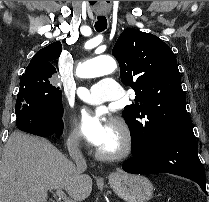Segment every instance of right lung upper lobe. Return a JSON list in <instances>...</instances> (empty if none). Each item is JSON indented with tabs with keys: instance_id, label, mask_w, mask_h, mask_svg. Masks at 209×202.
Instances as JSON below:
<instances>
[{
	"instance_id": "right-lung-upper-lobe-1",
	"label": "right lung upper lobe",
	"mask_w": 209,
	"mask_h": 202,
	"mask_svg": "<svg viewBox=\"0 0 209 202\" xmlns=\"http://www.w3.org/2000/svg\"><path fill=\"white\" fill-rule=\"evenodd\" d=\"M61 51L62 46L59 41L39 50L31 59L23 76L35 73H44L51 75L56 73V68L52 64V61L60 56Z\"/></svg>"
}]
</instances>
